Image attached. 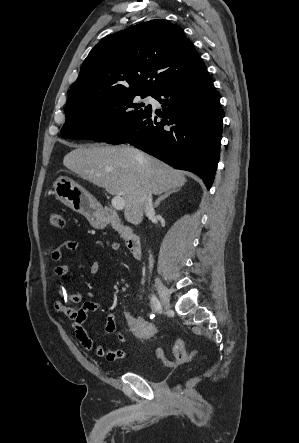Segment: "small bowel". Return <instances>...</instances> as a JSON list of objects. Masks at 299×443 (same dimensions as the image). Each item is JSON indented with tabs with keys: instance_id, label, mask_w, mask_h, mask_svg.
Segmentation results:
<instances>
[{
	"instance_id": "c3829d8e",
	"label": "small bowel",
	"mask_w": 299,
	"mask_h": 443,
	"mask_svg": "<svg viewBox=\"0 0 299 443\" xmlns=\"http://www.w3.org/2000/svg\"><path fill=\"white\" fill-rule=\"evenodd\" d=\"M79 245L76 241L68 240L62 245L55 248L51 253L54 261H60L67 252H75ZM89 271L96 274L99 271V263L93 261L89 266ZM53 273L56 277L61 278L72 274L69 265L60 264L54 267ZM56 299L54 301V309L57 312L64 313L70 320L71 327L75 331L76 337L82 347L93 352L97 357L105 358L113 362L125 357V352L121 349H108L102 345L94 343L85 329V321L89 313L104 311L102 305L96 302H84L80 307L77 305L82 302L83 296L80 292H70L61 283L55 286ZM105 331L109 336H114L120 342H124L125 338L122 330L118 327L113 313L108 312L106 315Z\"/></svg>"
}]
</instances>
